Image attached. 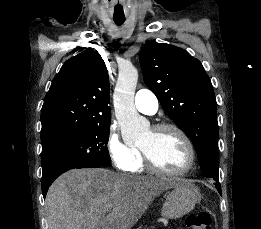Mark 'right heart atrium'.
Masks as SVG:
<instances>
[{
    "label": "right heart atrium",
    "instance_id": "1",
    "mask_svg": "<svg viewBox=\"0 0 261 229\" xmlns=\"http://www.w3.org/2000/svg\"><path fill=\"white\" fill-rule=\"evenodd\" d=\"M106 149L112 164L122 172L134 171L139 162V150L124 141L118 129L111 126L106 138Z\"/></svg>",
    "mask_w": 261,
    "mask_h": 229
}]
</instances>
